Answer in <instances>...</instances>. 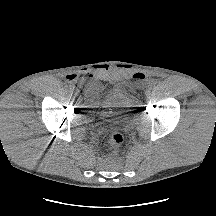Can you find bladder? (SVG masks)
I'll use <instances>...</instances> for the list:
<instances>
[{
	"label": "bladder",
	"instance_id": "obj_1",
	"mask_svg": "<svg viewBox=\"0 0 216 216\" xmlns=\"http://www.w3.org/2000/svg\"><path fill=\"white\" fill-rule=\"evenodd\" d=\"M84 101L89 115L106 123L127 119L135 111L131 96L114 84H106L98 88L96 92L86 91Z\"/></svg>",
	"mask_w": 216,
	"mask_h": 216
}]
</instances>
